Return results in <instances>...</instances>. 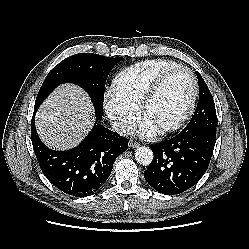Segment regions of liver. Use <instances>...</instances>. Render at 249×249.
Masks as SVG:
<instances>
[{
    "instance_id": "1",
    "label": "liver",
    "mask_w": 249,
    "mask_h": 249,
    "mask_svg": "<svg viewBox=\"0 0 249 249\" xmlns=\"http://www.w3.org/2000/svg\"><path fill=\"white\" fill-rule=\"evenodd\" d=\"M94 108L87 93L74 84L59 86L36 114L41 140L50 148L66 150L90 131Z\"/></svg>"
}]
</instances>
